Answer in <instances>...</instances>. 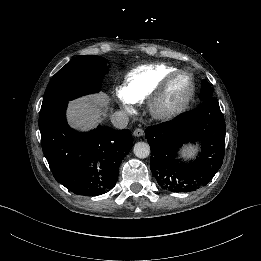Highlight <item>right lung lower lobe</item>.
<instances>
[{
  "instance_id": "right-lung-lower-lobe-1",
  "label": "right lung lower lobe",
  "mask_w": 261,
  "mask_h": 261,
  "mask_svg": "<svg viewBox=\"0 0 261 261\" xmlns=\"http://www.w3.org/2000/svg\"><path fill=\"white\" fill-rule=\"evenodd\" d=\"M68 101L41 108L43 153L55 179L77 195L97 196L113 188L119 164L133 147L128 129L98 126L78 133L66 122Z\"/></svg>"
}]
</instances>
